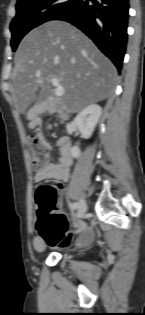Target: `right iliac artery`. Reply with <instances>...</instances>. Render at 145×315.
<instances>
[{
	"label": "right iliac artery",
	"instance_id": "right-iliac-artery-1",
	"mask_svg": "<svg viewBox=\"0 0 145 315\" xmlns=\"http://www.w3.org/2000/svg\"><path fill=\"white\" fill-rule=\"evenodd\" d=\"M78 207V203L77 202H74L71 204V210L74 212Z\"/></svg>",
	"mask_w": 145,
	"mask_h": 315
}]
</instances>
